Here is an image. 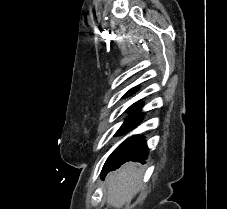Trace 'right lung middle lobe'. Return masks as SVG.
Instances as JSON below:
<instances>
[{"instance_id": "obj_1", "label": "right lung middle lobe", "mask_w": 227, "mask_h": 209, "mask_svg": "<svg viewBox=\"0 0 227 209\" xmlns=\"http://www.w3.org/2000/svg\"><path fill=\"white\" fill-rule=\"evenodd\" d=\"M140 106H136V105H132L129 110H130V115L128 116V118L125 120V122L123 123V125L121 126V128L117 131L116 135L123 133L125 131L131 130L132 128H134L136 125L139 124V122L142 120L143 118V113H140ZM137 137L136 136H132L130 138H128L127 140H125L107 159L103 171H107L110 166L113 163V158L115 156V154L126 144H128L129 142H131L133 139H135Z\"/></svg>"}]
</instances>
